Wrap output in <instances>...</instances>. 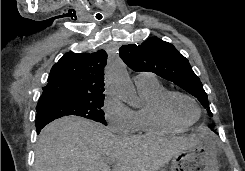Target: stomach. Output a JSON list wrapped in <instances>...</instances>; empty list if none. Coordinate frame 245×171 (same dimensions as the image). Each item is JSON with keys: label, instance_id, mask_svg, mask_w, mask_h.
I'll return each instance as SVG.
<instances>
[{"label": "stomach", "instance_id": "obj_1", "mask_svg": "<svg viewBox=\"0 0 245 171\" xmlns=\"http://www.w3.org/2000/svg\"><path fill=\"white\" fill-rule=\"evenodd\" d=\"M171 171H219L214 138L210 134L202 135L194 147L175 155Z\"/></svg>", "mask_w": 245, "mask_h": 171}]
</instances>
